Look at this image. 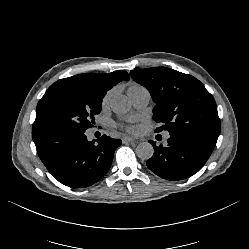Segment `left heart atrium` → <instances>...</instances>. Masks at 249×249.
<instances>
[{
  "label": "left heart atrium",
  "instance_id": "left-heart-atrium-1",
  "mask_svg": "<svg viewBox=\"0 0 249 249\" xmlns=\"http://www.w3.org/2000/svg\"><path fill=\"white\" fill-rule=\"evenodd\" d=\"M126 129L129 131V132H135V128L133 126H126Z\"/></svg>",
  "mask_w": 249,
  "mask_h": 249
}]
</instances>
